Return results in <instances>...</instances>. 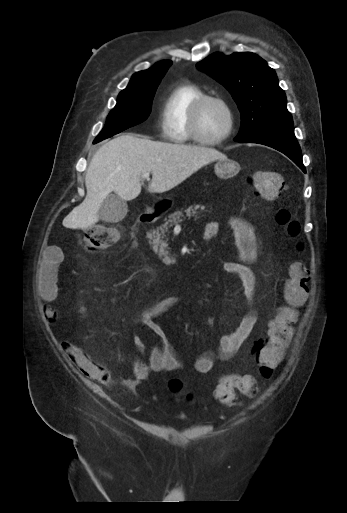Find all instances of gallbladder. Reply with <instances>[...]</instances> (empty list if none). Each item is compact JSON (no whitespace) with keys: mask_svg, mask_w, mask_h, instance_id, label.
<instances>
[{"mask_svg":"<svg viewBox=\"0 0 347 513\" xmlns=\"http://www.w3.org/2000/svg\"><path fill=\"white\" fill-rule=\"evenodd\" d=\"M127 207L126 202L119 196L109 194L100 206L98 211L99 219L109 223L120 222L128 212Z\"/></svg>","mask_w":347,"mask_h":513,"instance_id":"1","label":"gallbladder"}]
</instances>
